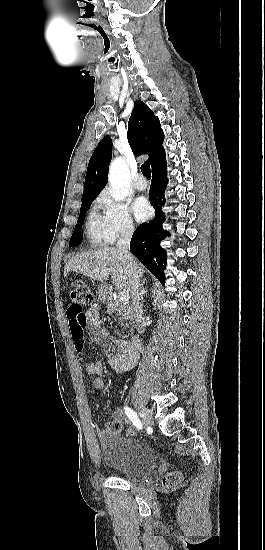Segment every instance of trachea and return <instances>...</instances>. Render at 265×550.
I'll list each match as a JSON object with an SVG mask.
<instances>
[{
	"instance_id": "3493384b",
	"label": "trachea",
	"mask_w": 265,
	"mask_h": 550,
	"mask_svg": "<svg viewBox=\"0 0 265 550\" xmlns=\"http://www.w3.org/2000/svg\"><path fill=\"white\" fill-rule=\"evenodd\" d=\"M141 172L147 179H151V169L148 163L141 166Z\"/></svg>"
}]
</instances>
